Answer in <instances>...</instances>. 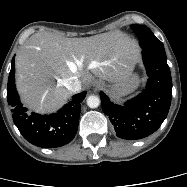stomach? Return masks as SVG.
Segmentation results:
<instances>
[{
  "mask_svg": "<svg viewBox=\"0 0 187 187\" xmlns=\"http://www.w3.org/2000/svg\"><path fill=\"white\" fill-rule=\"evenodd\" d=\"M139 83L138 75L132 71L123 81L110 85L108 93L112 98L119 99L133 92L139 86Z\"/></svg>",
  "mask_w": 187,
  "mask_h": 187,
  "instance_id": "0dacf381",
  "label": "stomach"
}]
</instances>
